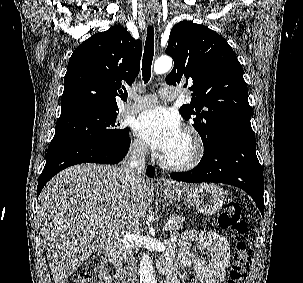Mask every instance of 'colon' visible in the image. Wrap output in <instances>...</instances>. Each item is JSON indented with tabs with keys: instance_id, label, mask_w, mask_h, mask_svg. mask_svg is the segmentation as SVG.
Segmentation results:
<instances>
[{
	"instance_id": "colon-1",
	"label": "colon",
	"mask_w": 303,
	"mask_h": 283,
	"mask_svg": "<svg viewBox=\"0 0 303 283\" xmlns=\"http://www.w3.org/2000/svg\"><path fill=\"white\" fill-rule=\"evenodd\" d=\"M221 228L243 235L247 226L243 220L240 206L235 201H228L219 216ZM251 258V249L245 242H238L233 256V264L229 272L227 283H242ZM96 272L95 265L85 264L77 274L66 283H92Z\"/></svg>"
}]
</instances>
